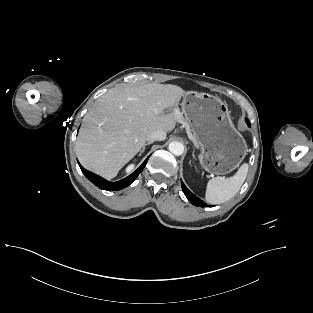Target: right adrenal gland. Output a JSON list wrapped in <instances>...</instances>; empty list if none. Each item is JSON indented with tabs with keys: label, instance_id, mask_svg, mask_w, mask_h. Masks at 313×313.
<instances>
[{
	"label": "right adrenal gland",
	"instance_id": "1",
	"mask_svg": "<svg viewBox=\"0 0 313 313\" xmlns=\"http://www.w3.org/2000/svg\"><path fill=\"white\" fill-rule=\"evenodd\" d=\"M152 143H153V141L147 142V143L143 146V148H142V150L140 151L139 155H141V154L144 152L146 146H148V145H150V144H152Z\"/></svg>",
	"mask_w": 313,
	"mask_h": 313
}]
</instances>
